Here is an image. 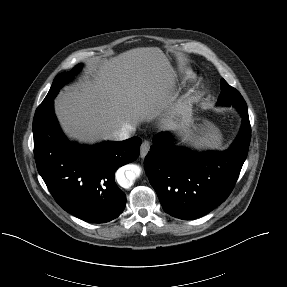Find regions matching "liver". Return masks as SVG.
Masks as SVG:
<instances>
[{"mask_svg":"<svg viewBox=\"0 0 287 287\" xmlns=\"http://www.w3.org/2000/svg\"><path fill=\"white\" fill-rule=\"evenodd\" d=\"M90 78L67 87L55 99V113L69 138L82 143L110 140L111 134L150 120L165 110L160 128L183 131L190 120L184 102L174 103L176 72L157 47L135 48L87 61Z\"/></svg>","mask_w":287,"mask_h":287,"instance_id":"obj_1","label":"liver"}]
</instances>
